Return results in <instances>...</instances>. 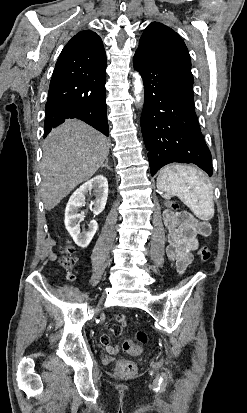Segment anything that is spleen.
I'll list each match as a JSON object with an SVG mask.
<instances>
[{"label": "spleen", "mask_w": 247, "mask_h": 413, "mask_svg": "<svg viewBox=\"0 0 247 413\" xmlns=\"http://www.w3.org/2000/svg\"><path fill=\"white\" fill-rule=\"evenodd\" d=\"M157 188L169 196H178L199 219H209L213 207L212 184L199 168L188 166L175 172L172 166H165L157 176Z\"/></svg>", "instance_id": "1"}]
</instances>
